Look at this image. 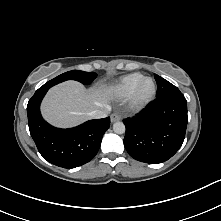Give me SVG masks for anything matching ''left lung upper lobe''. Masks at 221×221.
<instances>
[{"label": "left lung upper lobe", "mask_w": 221, "mask_h": 221, "mask_svg": "<svg viewBox=\"0 0 221 221\" xmlns=\"http://www.w3.org/2000/svg\"><path fill=\"white\" fill-rule=\"evenodd\" d=\"M154 77L157 82L156 98H162V97L169 96V95L181 94L179 89L173 84H171L170 82H168L167 80L163 79L157 74H155Z\"/></svg>", "instance_id": "5c2ea615"}]
</instances>
